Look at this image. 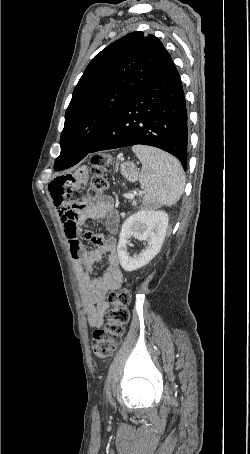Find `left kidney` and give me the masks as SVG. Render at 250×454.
<instances>
[{
    "instance_id": "5707ae66",
    "label": "left kidney",
    "mask_w": 250,
    "mask_h": 454,
    "mask_svg": "<svg viewBox=\"0 0 250 454\" xmlns=\"http://www.w3.org/2000/svg\"><path fill=\"white\" fill-rule=\"evenodd\" d=\"M167 227L168 215L162 210L142 209L128 217L122 225L117 249L121 267L134 271L149 263L159 253ZM131 236L147 242L138 255L130 256L127 251Z\"/></svg>"
}]
</instances>
